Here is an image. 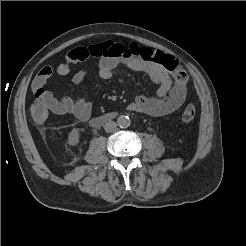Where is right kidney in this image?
I'll list each match as a JSON object with an SVG mask.
<instances>
[{
    "mask_svg": "<svg viewBox=\"0 0 246 246\" xmlns=\"http://www.w3.org/2000/svg\"><path fill=\"white\" fill-rule=\"evenodd\" d=\"M79 138H80V131L75 129L69 134L67 143L70 146H75L79 143Z\"/></svg>",
    "mask_w": 246,
    "mask_h": 246,
    "instance_id": "obj_1",
    "label": "right kidney"
}]
</instances>
